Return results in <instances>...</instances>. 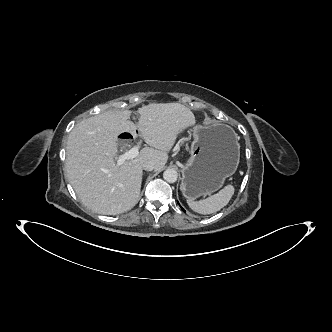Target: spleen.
Listing matches in <instances>:
<instances>
[{
  "mask_svg": "<svg viewBox=\"0 0 332 332\" xmlns=\"http://www.w3.org/2000/svg\"><path fill=\"white\" fill-rule=\"evenodd\" d=\"M233 194L234 187L232 185H227L217 194H214L204 200H187V203L190 208L197 213L212 214L225 207L229 203Z\"/></svg>",
  "mask_w": 332,
  "mask_h": 332,
  "instance_id": "1",
  "label": "spleen"
}]
</instances>
